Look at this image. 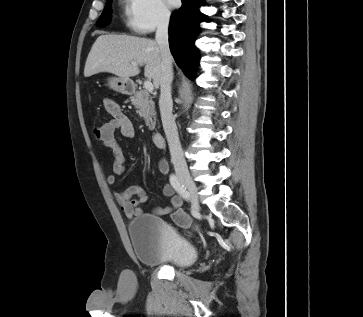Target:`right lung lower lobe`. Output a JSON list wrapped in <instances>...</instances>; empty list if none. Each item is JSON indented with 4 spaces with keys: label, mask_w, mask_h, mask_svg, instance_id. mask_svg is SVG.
Returning <instances> with one entry per match:
<instances>
[{
    "label": "right lung lower lobe",
    "mask_w": 363,
    "mask_h": 317,
    "mask_svg": "<svg viewBox=\"0 0 363 317\" xmlns=\"http://www.w3.org/2000/svg\"><path fill=\"white\" fill-rule=\"evenodd\" d=\"M203 0H182V7L171 16L169 26V44L177 65L188 78L196 63L194 38L199 30V23L203 17L199 6Z\"/></svg>",
    "instance_id": "obj_1"
}]
</instances>
